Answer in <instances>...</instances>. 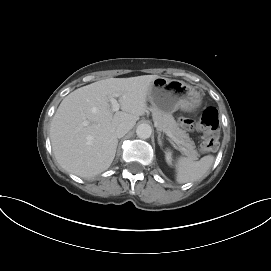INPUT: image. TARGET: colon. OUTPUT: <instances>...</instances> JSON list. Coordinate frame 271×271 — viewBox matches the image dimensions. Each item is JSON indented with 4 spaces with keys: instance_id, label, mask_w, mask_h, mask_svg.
I'll return each mask as SVG.
<instances>
[{
    "instance_id": "colon-1",
    "label": "colon",
    "mask_w": 271,
    "mask_h": 271,
    "mask_svg": "<svg viewBox=\"0 0 271 271\" xmlns=\"http://www.w3.org/2000/svg\"><path fill=\"white\" fill-rule=\"evenodd\" d=\"M179 124L185 129L203 132V139L200 143V150L202 152H211L217 148L219 139V116L214 107L206 108L199 121L180 117Z\"/></svg>"
}]
</instances>
